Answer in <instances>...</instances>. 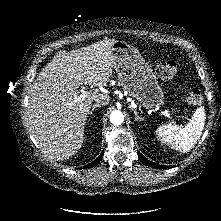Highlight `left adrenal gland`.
Listing matches in <instances>:
<instances>
[{
	"label": "left adrenal gland",
	"mask_w": 221,
	"mask_h": 221,
	"mask_svg": "<svg viewBox=\"0 0 221 221\" xmlns=\"http://www.w3.org/2000/svg\"><path fill=\"white\" fill-rule=\"evenodd\" d=\"M129 108H130L131 110H133V112H134V114H135V120H136V121H143V118H141V117L138 115V112H137L136 109H134V108L131 107V106H129Z\"/></svg>",
	"instance_id": "1"
}]
</instances>
